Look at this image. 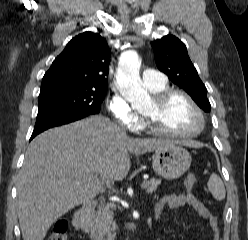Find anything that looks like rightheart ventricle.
<instances>
[{
  "mask_svg": "<svg viewBox=\"0 0 248 240\" xmlns=\"http://www.w3.org/2000/svg\"><path fill=\"white\" fill-rule=\"evenodd\" d=\"M168 86H167V83L163 84V85H160V86H155V87H148L149 90L153 93H157V92H160L164 89H166Z\"/></svg>",
  "mask_w": 248,
  "mask_h": 240,
  "instance_id": "obj_1",
  "label": "right heart ventricle"
}]
</instances>
